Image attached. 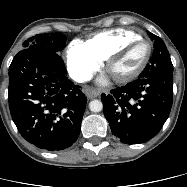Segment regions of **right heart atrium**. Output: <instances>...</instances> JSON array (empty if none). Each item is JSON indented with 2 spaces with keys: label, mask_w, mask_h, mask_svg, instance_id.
<instances>
[{
  "label": "right heart atrium",
  "mask_w": 187,
  "mask_h": 187,
  "mask_svg": "<svg viewBox=\"0 0 187 187\" xmlns=\"http://www.w3.org/2000/svg\"><path fill=\"white\" fill-rule=\"evenodd\" d=\"M66 62L71 76L79 82L88 80L101 64V60L80 40H74L69 44Z\"/></svg>",
  "instance_id": "1"
}]
</instances>
